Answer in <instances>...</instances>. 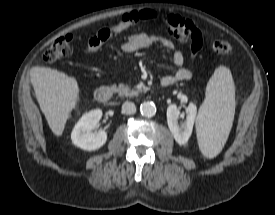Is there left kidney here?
I'll return each instance as SVG.
<instances>
[{
  "label": "left kidney",
  "mask_w": 275,
  "mask_h": 215,
  "mask_svg": "<svg viewBox=\"0 0 275 215\" xmlns=\"http://www.w3.org/2000/svg\"><path fill=\"white\" fill-rule=\"evenodd\" d=\"M187 118L185 123L179 124L178 118L180 115V111L175 104L170 105L167 108V123L168 127L176 140V142L180 145H183L188 142L192 130L193 125L196 118L197 108L194 103H190L186 108Z\"/></svg>",
  "instance_id": "obj_1"
}]
</instances>
